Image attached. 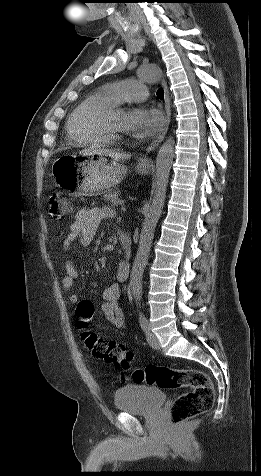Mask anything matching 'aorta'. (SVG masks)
Instances as JSON below:
<instances>
[{
    "label": "aorta",
    "mask_w": 261,
    "mask_h": 476,
    "mask_svg": "<svg viewBox=\"0 0 261 476\" xmlns=\"http://www.w3.org/2000/svg\"><path fill=\"white\" fill-rule=\"evenodd\" d=\"M139 76L149 83H156L161 78V71L155 65H147L139 69ZM174 139L169 137L159 148L156 157L155 190L152 203L145 214L136 257L130 275L129 287L137 301L142 298V277L154 238L155 228L161 216L166 198L169 174L174 158Z\"/></svg>",
    "instance_id": "762f6f07"
}]
</instances>
